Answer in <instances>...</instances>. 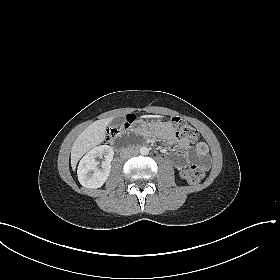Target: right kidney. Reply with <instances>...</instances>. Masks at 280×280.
<instances>
[{"label": "right kidney", "instance_id": "1", "mask_svg": "<svg viewBox=\"0 0 280 280\" xmlns=\"http://www.w3.org/2000/svg\"><path fill=\"white\" fill-rule=\"evenodd\" d=\"M113 149L108 145H100L91 149L80 161L77 175L80 184L89 189L100 188L108 179L113 160ZM97 158H104L99 168Z\"/></svg>", "mask_w": 280, "mask_h": 280}]
</instances>
